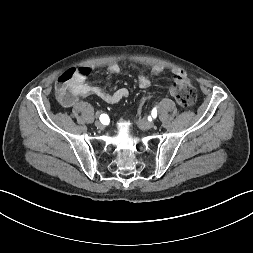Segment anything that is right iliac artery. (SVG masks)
<instances>
[{"label":"right iliac artery","mask_w":253,"mask_h":253,"mask_svg":"<svg viewBox=\"0 0 253 253\" xmlns=\"http://www.w3.org/2000/svg\"><path fill=\"white\" fill-rule=\"evenodd\" d=\"M107 120H108L107 114H101V115H100V121H101L102 123H105Z\"/></svg>","instance_id":"obj_1"}]
</instances>
